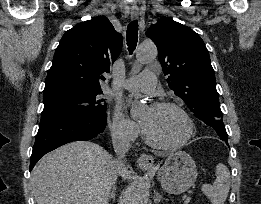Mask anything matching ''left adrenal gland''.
<instances>
[{"label": "left adrenal gland", "instance_id": "left-adrenal-gland-1", "mask_svg": "<svg viewBox=\"0 0 261 204\" xmlns=\"http://www.w3.org/2000/svg\"><path fill=\"white\" fill-rule=\"evenodd\" d=\"M161 200H164V198L160 193L156 192L154 196V204H158Z\"/></svg>", "mask_w": 261, "mask_h": 204}]
</instances>
